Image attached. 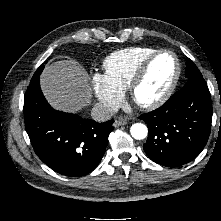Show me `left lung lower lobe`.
I'll list each match as a JSON object with an SVG mask.
<instances>
[{"label": "left lung lower lobe", "mask_w": 221, "mask_h": 221, "mask_svg": "<svg viewBox=\"0 0 221 221\" xmlns=\"http://www.w3.org/2000/svg\"><path fill=\"white\" fill-rule=\"evenodd\" d=\"M148 126L143 145L158 164L178 167L196 158L207 143L212 104L206 84L185 86L160 108L139 116Z\"/></svg>", "instance_id": "obj_1"}]
</instances>
